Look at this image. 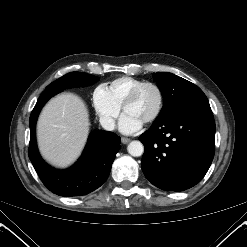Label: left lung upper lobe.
Instances as JSON below:
<instances>
[{"instance_id":"obj_1","label":"left lung upper lobe","mask_w":247,"mask_h":247,"mask_svg":"<svg viewBox=\"0 0 247 247\" xmlns=\"http://www.w3.org/2000/svg\"><path fill=\"white\" fill-rule=\"evenodd\" d=\"M153 78L164 98L158 117L172 114L187 101L206 97L198 86L172 73L157 72L153 74Z\"/></svg>"}]
</instances>
